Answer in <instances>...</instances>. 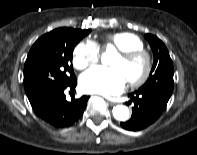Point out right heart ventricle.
I'll return each mask as SVG.
<instances>
[{
	"label": "right heart ventricle",
	"instance_id": "e07e8e85",
	"mask_svg": "<svg viewBox=\"0 0 197 155\" xmlns=\"http://www.w3.org/2000/svg\"><path fill=\"white\" fill-rule=\"evenodd\" d=\"M105 47L112 46L117 50L141 49L144 44L142 39L131 32H117L106 36L103 40Z\"/></svg>",
	"mask_w": 197,
	"mask_h": 155
}]
</instances>
